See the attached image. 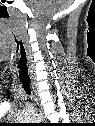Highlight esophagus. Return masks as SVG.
Instances as JSON below:
<instances>
[{"label": "esophagus", "mask_w": 95, "mask_h": 126, "mask_svg": "<svg viewBox=\"0 0 95 126\" xmlns=\"http://www.w3.org/2000/svg\"><path fill=\"white\" fill-rule=\"evenodd\" d=\"M32 89H33V93H34L33 100H34L35 107L38 110V112L40 114H42V106H41V102H40V97H39L38 92L34 85H32Z\"/></svg>", "instance_id": "34e87169"}]
</instances>
